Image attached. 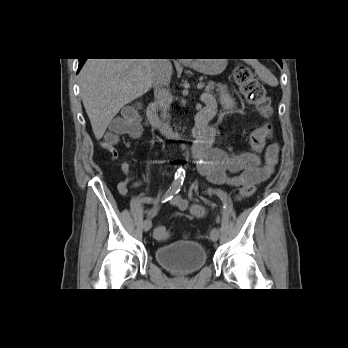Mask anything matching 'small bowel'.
<instances>
[{"mask_svg":"<svg viewBox=\"0 0 348 348\" xmlns=\"http://www.w3.org/2000/svg\"><path fill=\"white\" fill-rule=\"evenodd\" d=\"M221 100L227 109H232L233 99L229 95L226 87L220 89ZM204 107H214L215 99L211 94L202 95ZM216 129L210 127L211 136L215 135ZM139 134V133H138ZM138 134L134 135L137 136ZM279 147L276 143H271L266 150L264 159L256 153H228L223 149L196 150L195 156L198 158L199 173L204 176L208 182L213 184H226L232 187H240L243 185H256L265 181L273 173L278 162ZM120 170L124 177L118 184L121 194L127 195L130 188L139 187L142 181H135V177L131 166L128 162H123ZM143 201H147L146 198ZM171 203L181 210H190L196 217H202L205 209L199 205L190 206L185 200L176 196ZM161 209V204L156 202L155 205L148 210L147 216L153 218Z\"/></svg>","mask_w":348,"mask_h":348,"instance_id":"obj_1","label":"small bowel"}]
</instances>
